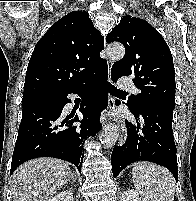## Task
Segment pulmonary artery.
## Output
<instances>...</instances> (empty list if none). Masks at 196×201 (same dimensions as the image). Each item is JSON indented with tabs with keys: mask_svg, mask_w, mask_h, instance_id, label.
<instances>
[{
	"mask_svg": "<svg viewBox=\"0 0 196 201\" xmlns=\"http://www.w3.org/2000/svg\"><path fill=\"white\" fill-rule=\"evenodd\" d=\"M118 87L120 89H127V90H131L134 93H137L139 90L134 86L133 82L130 79L127 78H122L119 80L118 82Z\"/></svg>",
	"mask_w": 196,
	"mask_h": 201,
	"instance_id": "obj_1",
	"label": "pulmonary artery"
}]
</instances>
